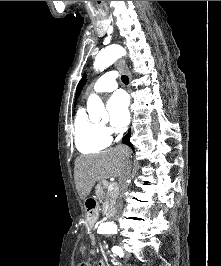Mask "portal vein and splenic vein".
<instances>
[{"label": "portal vein and splenic vein", "mask_w": 221, "mask_h": 266, "mask_svg": "<svg viewBox=\"0 0 221 266\" xmlns=\"http://www.w3.org/2000/svg\"><path fill=\"white\" fill-rule=\"evenodd\" d=\"M115 188H117V183L116 182L110 183V185L108 186V191H112Z\"/></svg>", "instance_id": "obj_1"}]
</instances>
